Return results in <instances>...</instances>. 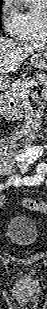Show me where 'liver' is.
<instances>
[{"label":"liver","instance_id":"liver-1","mask_svg":"<svg viewBox=\"0 0 47 309\" xmlns=\"http://www.w3.org/2000/svg\"><path fill=\"white\" fill-rule=\"evenodd\" d=\"M44 48L43 44L18 42L4 37L0 38V72H15L23 61L35 51Z\"/></svg>","mask_w":47,"mask_h":309}]
</instances>
